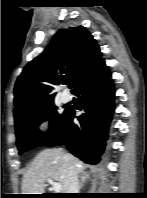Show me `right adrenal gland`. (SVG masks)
<instances>
[{
    "instance_id": "right-adrenal-gland-1",
    "label": "right adrenal gland",
    "mask_w": 147,
    "mask_h": 198,
    "mask_svg": "<svg viewBox=\"0 0 147 198\" xmlns=\"http://www.w3.org/2000/svg\"><path fill=\"white\" fill-rule=\"evenodd\" d=\"M90 174L88 172H84L80 176V182H79V189H81L84 186V183L89 179Z\"/></svg>"
}]
</instances>
